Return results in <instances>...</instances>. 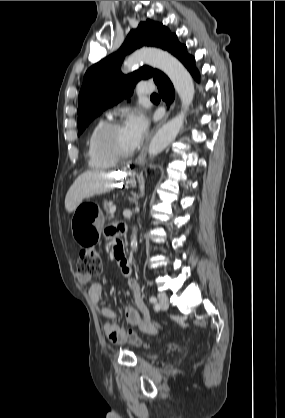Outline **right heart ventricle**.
I'll use <instances>...</instances> for the list:
<instances>
[{"label":"right heart ventricle","instance_id":"right-heart-ventricle-1","mask_svg":"<svg viewBox=\"0 0 285 418\" xmlns=\"http://www.w3.org/2000/svg\"><path fill=\"white\" fill-rule=\"evenodd\" d=\"M103 122H98L95 126L89 131L86 140H85V156L87 159L88 166L91 170L99 171L104 170L110 167H113L117 164L116 161H111L105 159L95 148L93 144V138L97 130Z\"/></svg>","mask_w":285,"mask_h":418}]
</instances>
